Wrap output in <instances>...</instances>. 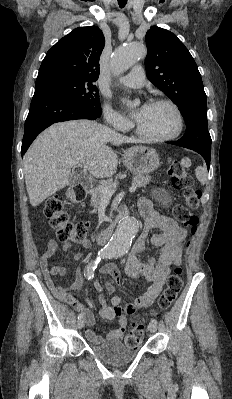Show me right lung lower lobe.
I'll return each mask as SVG.
<instances>
[{
    "label": "right lung lower lobe",
    "mask_w": 232,
    "mask_h": 399,
    "mask_svg": "<svg viewBox=\"0 0 232 399\" xmlns=\"http://www.w3.org/2000/svg\"><path fill=\"white\" fill-rule=\"evenodd\" d=\"M100 115L101 111H95L56 89L35 88L25 122L21 155L25 154L36 136L51 124L75 119H97Z\"/></svg>",
    "instance_id": "1"
}]
</instances>
